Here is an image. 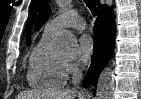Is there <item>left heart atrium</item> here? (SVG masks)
Listing matches in <instances>:
<instances>
[{
	"mask_svg": "<svg viewBox=\"0 0 141 99\" xmlns=\"http://www.w3.org/2000/svg\"><path fill=\"white\" fill-rule=\"evenodd\" d=\"M78 46H79V59L82 62L87 61L93 51H94V40L93 38L88 35L84 34L82 35L78 40Z\"/></svg>",
	"mask_w": 141,
	"mask_h": 99,
	"instance_id": "1",
	"label": "left heart atrium"
}]
</instances>
